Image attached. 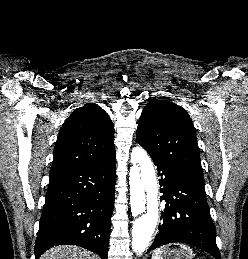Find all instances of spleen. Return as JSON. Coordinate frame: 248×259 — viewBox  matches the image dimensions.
Instances as JSON below:
<instances>
[{
    "mask_svg": "<svg viewBox=\"0 0 248 259\" xmlns=\"http://www.w3.org/2000/svg\"><path fill=\"white\" fill-rule=\"evenodd\" d=\"M159 253H160V249L155 250L152 255V259H159Z\"/></svg>",
    "mask_w": 248,
    "mask_h": 259,
    "instance_id": "spleen-1",
    "label": "spleen"
}]
</instances>
